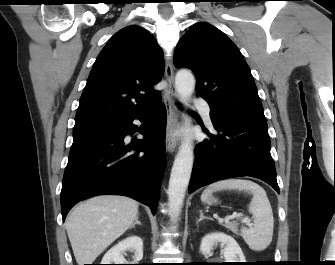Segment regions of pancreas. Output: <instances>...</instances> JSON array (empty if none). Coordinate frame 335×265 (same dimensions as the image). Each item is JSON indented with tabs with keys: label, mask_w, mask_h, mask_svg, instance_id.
I'll return each instance as SVG.
<instances>
[{
	"label": "pancreas",
	"mask_w": 335,
	"mask_h": 265,
	"mask_svg": "<svg viewBox=\"0 0 335 265\" xmlns=\"http://www.w3.org/2000/svg\"><path fill=\"white\" fill-rule=\"evenodd\" d=\"M224 227L231 230L233 233L238 234V224L237 222H228L224 224Z\"/></svg>",
	"instance_id": "cf45deb5"
}]
</instances>
